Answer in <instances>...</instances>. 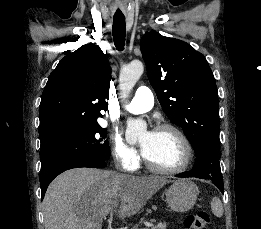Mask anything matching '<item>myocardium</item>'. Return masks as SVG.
<instances>
[{
    "label": "myocardium",
    "mask_w": 261,
    "mask_h": 229,
    "mask_svg": "<svg viewBox=\"0 0 261 229\" xmlns=\"http://www.w3.org/2000/svg\"><path fill=\"white\" fill-rule=\"evenodd\" d=\"M160 131H169L175 134V136L178 138L182 149H183V158L181 163L173 168H161L153 165L142 153V158L144 161V164L146 167L153 173L162 174V175H174L183 172L187 169L191 162L192 158V149L191 145L185 136V134L177 127L171 125V124H160L157 127H155L153 132H160Z\"/></svg>",
    "instance_id": "1"
}]
</instances>
